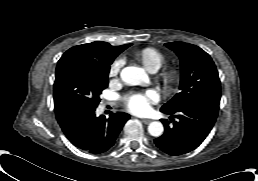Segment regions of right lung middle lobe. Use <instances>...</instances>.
Masks as SVG:
<instances>
[{
  "label": "right lung middle lobe",
  "mask_w": 258,
  "mask_h": 181,
  "mask_svg": "<svg viewBox=\"0 0 258 181\" xmlns=\"http://www.w3.org/2000/svg\"><path fill=\"white\" fill-rule=\"evenodd\" d=\"M131 44H127L126 48ZM110 66L77 51H67L57 64L54 107L76 104L95 109L108 86Z\"/></svg>",
  "instance_id": "1"
}]
</instances>
